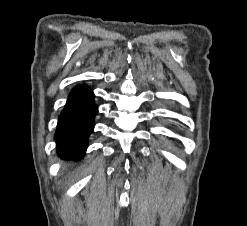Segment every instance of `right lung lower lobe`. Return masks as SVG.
Returning a JSON list of instances; mask_svg holds the SVG:
<instances>
[{
	"mask_svg": "<svg viewBox=\"0 0 247 226\" xmlns=\"http://www.w3.org/2000/svg\"><path fill=\"white\" fill-rule=\"evenodd\" d=\"M97 111L89 87L78 85L70 92L54 137L61 157L80 158L84 155Z\"/></svg>",
	"mask_w": 247,
	"mask_h": 226,
	"instance_id": "98d812e1",
	"label": "right lung lower lobe"
}]
</instances>
